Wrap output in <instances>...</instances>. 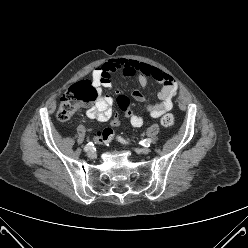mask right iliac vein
I'll return each instance as SVG.
<instances>
[{
  "instance_id": "63e3f726",
  "label": "right iliac vein",
  "mask_w": 248,
  "mask_h": 248,
  "mask_svg": "<svg viewBox=\"0 0 248 248\" xmlns=\"http://www.w3.org/2000/svg\"><path fill=\"white\" fill-rule=\"evenodd\" d=\"M87 155H88V157L90 159H95L96 158V153L94 151H89Z\"/></svg>"
}]
</instances>
